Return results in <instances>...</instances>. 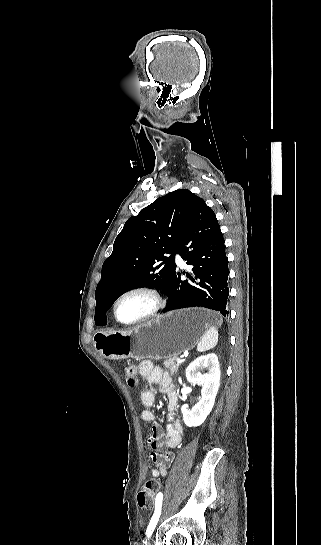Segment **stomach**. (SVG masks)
<instances>
[{"instance_id": "stomach-1", "label": "stomach", "mask_w": 321, "mask_h": 545, "mask_svg": "<svg viewBox=\"0 0 321 545\" xmlns=\"http://www.w3.org/2000/svg\"><path fill=\"white\" fill-rule=\"evenodd\" d=\"M219 321L220 315L207 309H180L124 333L100 329L93 343L106 359H170L193 349Z\"/></svg>"}]
</instances>
